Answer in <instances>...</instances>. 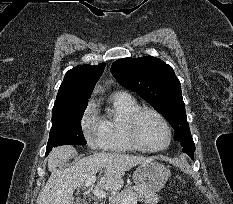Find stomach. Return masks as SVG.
<instances>
[{
	"instance_id": "obj_1",
	"label": "stomach",
	"mask_w": 233,
	"mask_h": 204,
	"mask_svg": "<svg viewBox=\"0 0 233 204\" xmlns=\"http://www.w3.org/2000/svg\"><path fill=\"white\" fill-rule=\"evenodd\" d=\"M169 176L170 172L163 164L150 161L136 168L133 180L136 186L156 192L165 186Z\"/></svg>"
}]
</instances>
